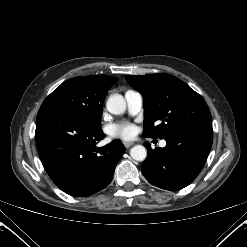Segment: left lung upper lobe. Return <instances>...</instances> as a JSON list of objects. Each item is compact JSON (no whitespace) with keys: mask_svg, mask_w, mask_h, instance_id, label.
Wrapping results in <instances>:
<instances>
[{"mask_svg":"<svg viewBox=\"0 0 247 247\" xmlns=\"http://www.w3.org/2000/svg\"><path fill=\"white\" fill-rule=\"evenodd\" d=\"M126 80L144 100L145 137L165 138L174 131L211 125L210 110L204 99L186 83L169 74L127 75ZM160 123L154 126V123Z\"/></svg>","mask_w":247,"mask_h":247,"instance_id":"obj_1","label":"left lung upper lobe"}]
</instances>
